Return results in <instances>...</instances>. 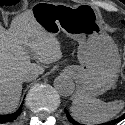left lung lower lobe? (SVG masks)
I'll return each mask as SVG.
<instances>
[{"label":"left lung lower lobe","instance_id":"left-lung-lower-lobe-1","mask_svg":"<svg viewBox=\"0 0 125 125\" xmlns=\"http://www.w3.org/2000/svg\"><path fill=\"white\" fill-rule=\"evenodd\" d=\"M65 112H66L67 118L69 119V121H70L73 125H82V124L76 122L75 120H73V118L70 116V114L68 113L67 110H65ZM124 118H125V114H123V115L120 116L119 118L113 120V121H112V124H111V122H107V123L100 124V125H114L115 123H117V122L123 120Z\"/></svg>","mask_w":125,"mask_h":125}]
</instances>
